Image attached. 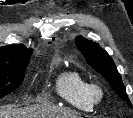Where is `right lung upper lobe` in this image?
<instances>
[{
	"mask_svg": "<svg viewBox=\"0 0 133 118\" xmlns=\"http://www.w3.org/2000/svg\"><path fill=\"white\" fill-rule=\"evenodd\" d=\"M32 51L21 44L0 47V68H13L28 64Z\"/></svg>",
	"mask_w": 133,
	"mask_h": 118,
	"instance_id": "1",
	"label": "right lung upper lobe"
}]
</instances>
